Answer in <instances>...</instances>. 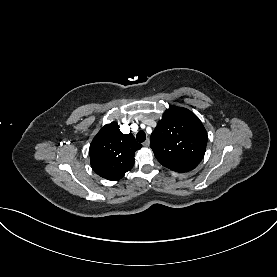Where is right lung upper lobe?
I'll use <instances>...</instances> for the list:
<instances>
[{
	"label": "right lung upper lobe",
	"instance_id": "right-lung-upper-lobe-1",
	"mask_svg": "<svg viewBox=\"0 0 277 277\" xmlns=\"http://www.w3.org/2000/svg\"><path fill=\"white\" fill-rule=\"evenodd\" d=\"M142 147L132 134H122L116 122L105 125L90 144L93 170L107 180H119L134 165V153Z\"/></svg>",
	"mask_w": 277,
	"mask_h": 277
}]
</instances>
